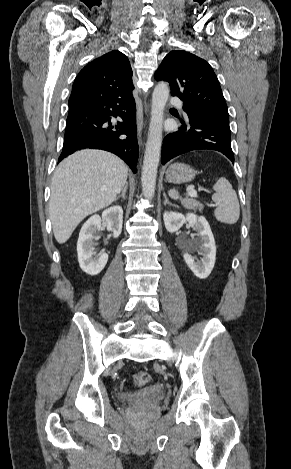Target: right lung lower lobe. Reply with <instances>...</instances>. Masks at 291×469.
Wrapping results in <instances>:
<instances>
[{
  "label": "right lung lower lobe",
  "mask_w": 291,
  "mask_h": 469,
  "mask_svg": "<svg viewBox=\"0 0 291 469\" xmlns=\"http://www.w3.org/2000/svg\"><path fill=\"white\" fill-rule=\"evenodd\" d=\"M119 118L117 123L111 119ZM92 148L112 152L136 172L138 144L133 97L110 96L70 108L60 162L75 151Z\"/></svg>",
  "instance_id": "1"
}]
</instances>
